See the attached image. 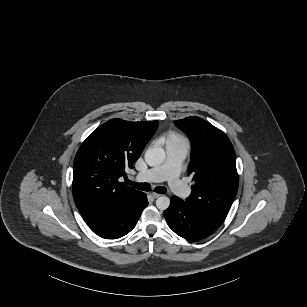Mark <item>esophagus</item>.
Wrapping results in <instances>:
<instances>
[{"mask_svg": "<svg viewBox=\"0 0 307 307\" xmlns=\"http://www.w3.org/2000/svg\"><path fill=\"white\" fill-rule=\"evenodd\" d=\"M150 195H151V197H152L153 199H157V198H159V197L161 196L160 194L155 193V192H152Z\"/></svg>", "mask_w": 307, "mask_h": 307, "instance_id": "1", "label": "esophagus"}]
</instances>
